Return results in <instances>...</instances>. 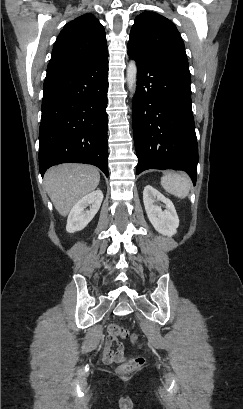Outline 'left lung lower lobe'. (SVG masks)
Returning a JSON list of instances; mask_svg holds the SVG:
<instances>
[{
  "instance_id": "obj_1",
  "label": "left lung lower lobe",
  "mask_w": 243,
  "mask_h": 409,
  "mask_svg": "<svg viewBox=\"0 0 243 409\" xmlns=\"http://www.w3.org/2000/svg\"><path fill=\"white\" fill-rule=\"evenodd\" d=\"M137 62L133 134L139 159L136 174L147 169L184 170L194 185L198 144L191 108L187 58L168 56Z\"/></svg>"
}]
</instances>
